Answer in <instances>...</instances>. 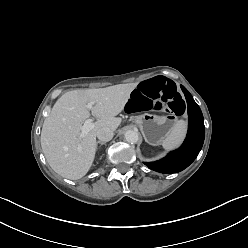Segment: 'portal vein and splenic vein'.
I'll use <instances>...</instances> for the list:
<instances>
[{
  "label": "portal vein and splenic vein",
  "instance_id": "obj_1",
  "mask_svg": "<svg viewBox=\"0 0 248 248\" xmlns=\"http://www.w3.org/2000/svg\"><path fill=\"white\" fill-rule=\"evenodd\" d=\"M93 102H90L86 105V107L88 109H92L93 108ZM95 128V123L93 122V119H87L85 120L84 124L81 127V134H80V138L84 137L85 135H87V133L89 131H91L92 129Z\"/></svg>",
  "mask_w": 248,
  "mask_h": 248
}]
</instances>
